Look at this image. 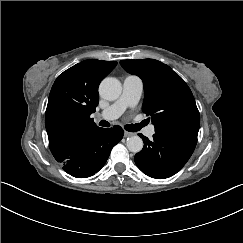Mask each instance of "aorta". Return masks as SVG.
<instances>
[{
	"label": "aorta",
	"instance_id": "762f6f07",
	"mask_svg": "<svg viewBox=\"0 0 243 243\" xmlns=\"http://www.w3.org/2000/svg\"><path fill=\"white\" fill-rule=\"evenodd\" d=\"M121 91L122 86L120 81L113 77L105 78L99 86V95L101 98L109 101L118 99ZM126 147L130 152L138 153L143 148V141L137 135L130 136L126 139Z\"/></svg>",
	"mask_w": 243,
	"mask_h": 243
}]
</instances>
